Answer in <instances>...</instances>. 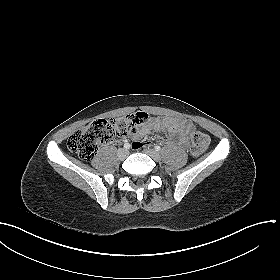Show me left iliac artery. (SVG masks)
<instances>
[{"mask_svg": "<svg viewBox=\"0 0 280 280\" xmlns=\"http://www.w3.org/2000/svg\"><path fill=\"white\" fill-rule=\"evenodd\" d=\"M155 150H156V151H160V150H161V147L157 145V146H155Z\"/></svg>", "mask_w": 280, "mask_h": 280, "instance_id": "44dca946", "label": "left iliac artery"}]
</instances>
